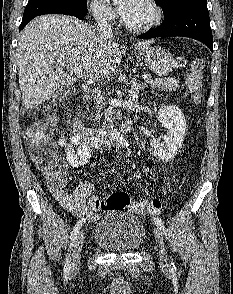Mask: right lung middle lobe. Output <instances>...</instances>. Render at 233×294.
Masks as SVG:
<instances>
[{"label": "right lung middle lobe", "mask_w": 233, "mask_h": 294, "mask_svg": "<svg viewBox=\"0 0 233 294\" xmlns=\"http://www.w3.org/2000/svg\"><path fill=\"white\" fill-rule=\"evenodd\" d=\"M87 8V0H29L22 22L44 14H66L80 12Z\"/></svg>", "instance_id": "1"}]
</instances>
